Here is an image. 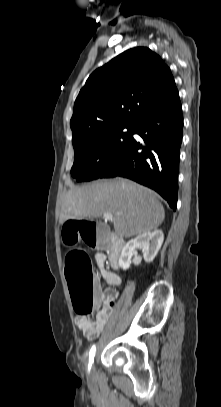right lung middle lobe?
Wrapping results in <instances>:
<instances>
[{
  "instance_id": "dd1d6c3e",
  "label": "right lung middle lobe",
  "mask_w": 221,
  "mask_h": 407,
  "mask_svg": "<svg viewBox=\"0 0 221 407\" xmlns=\"http://www.w3.org/2000/svg\"><path fill=\"white\" fill-rule=\"evenodd\" d=\"M134 124L112 127L92 134L76 143L71 175L78 182L100 178L129 146Z\"/></svg>"
}]
</instances>
